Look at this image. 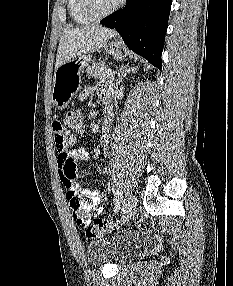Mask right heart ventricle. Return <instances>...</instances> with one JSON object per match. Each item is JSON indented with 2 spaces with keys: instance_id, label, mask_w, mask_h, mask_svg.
I'll return each mask as SVG.
<instances>
[{
  "instance_id": "obj_1",
  "label": "right heart ventricle",
  "mask_w": 233,
  "mask_h": 286,
  "mask_svg": "<svg viewBox=\"0 0 233 286\" xmlns=\"http://www.w3.org/2000/svg\"><path fill=\"white\" fill-rule=\"evenodd\" d=\"M67 7L71 18L75 23L86 25L94 21V19L84 10L82 0H67Z\"/></svg>"
}]
</instances>
